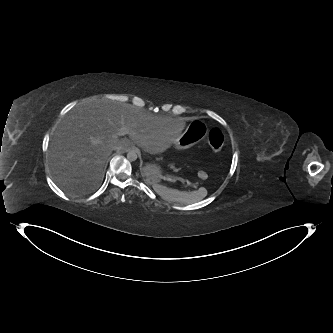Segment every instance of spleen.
Segmentation results:
<instances>
[{"label":"spleen","mask_w":333,"mask_h":333,"mask_svg":"<svg viewBox=\"0 0 333 333\" xmlns=\"http://www.w3.org/2000/svg\"><path fill=\"white\" fill-rule=\"evenodd\" d=\"M153 189L167 201H172L175 203H194L204 199L207 196V191L205 188H199L192 192H180L175 189L167 188L162 184L154 185Z\"/></svg>","instance_id":"spleen-1"}]
</instances>
